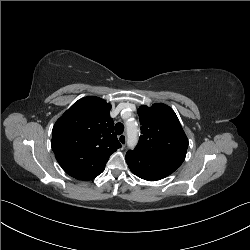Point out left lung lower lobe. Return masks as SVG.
<instances>
[{
  "mask_svg": "<svg viewBox=\"0 0 250 250\" xmlns=\"http://www.w3.org/2000/svg\"><path fill=\"white\" fill-rule=\"evenodd\" d=\"M128 166L133 174L149 181L160 180L171 174L155 166L152 160L144 156L138 157L134 162L129 163Z\"/></svg>",
  "mask_w": 250,
  "mask_h": 250,
  "instance_id": "left-lung-lower-lobe-1",
  "label": "left lung lower lobe"
}]
</instances>
